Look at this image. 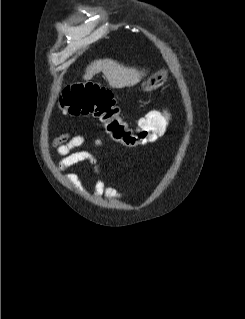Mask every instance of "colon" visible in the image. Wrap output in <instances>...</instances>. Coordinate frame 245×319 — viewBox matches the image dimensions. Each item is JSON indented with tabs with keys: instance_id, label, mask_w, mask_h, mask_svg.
Masks as SVG:
<instances>
[{
	"instance_id": "obj_1",
	"label": "colon",
	"mask_w": 245,
	"mask_h": 319,
	"mask_svg": "<svg viewBox=\"0 0 245 319\" xmlns=\"http://www.w3.org/2000/svg\"><path fill=\"white\" fill-rule=\"evenodd\" d=\"M59 105L69 115L99 118L111 139L125 147L154 142L164 133L169 121L167 113L151 111L132 128L121 118L120 106L113 94L93 83L67 87L60 96Z\"/></svg>"
}]
</instances>
